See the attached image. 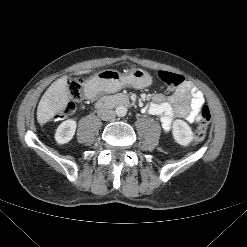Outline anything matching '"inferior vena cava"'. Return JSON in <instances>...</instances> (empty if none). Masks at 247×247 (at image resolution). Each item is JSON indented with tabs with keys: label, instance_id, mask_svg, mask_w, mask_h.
<instances>
[{
	"label": "inferior vena cava",
	"instance_id": "1",
	"mask_svg": "<svg viewBox=\"0 0 247 247\" xmlns=\"http://www.w3.org/2000/svg\"><path fill=\"white\" fill-rule=\"evenodd\" d=\"M98 116L104 121H112L116 117L115 111L108 108L98 110Z\"/></svg>",
	"mask_w": 247,
	"mask_h": 247
}]
</instances>
